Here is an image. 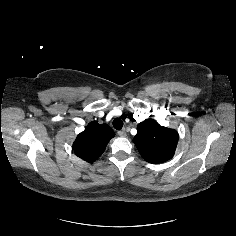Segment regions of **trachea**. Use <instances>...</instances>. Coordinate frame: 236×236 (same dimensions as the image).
<instances>
[{
  "instance_id": "1",
  "label": "trachea",
  "mask_w": 236,
  "mask_h": 236,
  "mask_svg": "<svg viewBox=\"0 0 236 236\" xmlns=\"http://www.w3.org/2000/svg\"><path fill=\"white\" fill-rule=\"evenodd\" d=\"M113 127H114L115 129H117V130L122 129V127H123V121H122L121 119H119V118H115V119L113 120Z\"/></svg>"
}]
</instances>
